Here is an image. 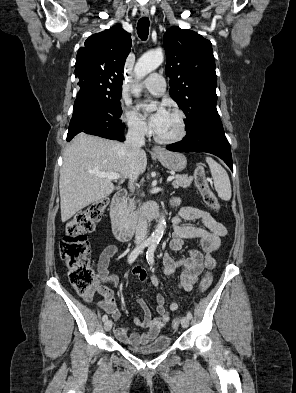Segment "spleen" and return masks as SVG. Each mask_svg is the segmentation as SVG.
<instances>
[{
	"label": "spleen",
	"instance_id": "obj_1",
	"mask_svg": "<svg viewBox=\"0 0 296 393\" xmlns=\"http://www.w3.org/2000/svg\"><path fill=\"white\" fill-rule=\"evenodd\" d=\"M206 163L209 165L211 175L214 181V187L219 197L224 201L230 200L232 191L230 179L227 172L211 157H206Z\"/></svg>",
	"mask_w": 296,
	"mask_h": 393
}]
</instances>
